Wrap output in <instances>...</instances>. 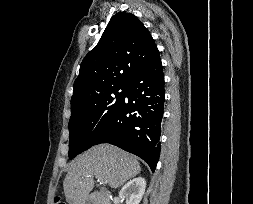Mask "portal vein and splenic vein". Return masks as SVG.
Instances as JSON below:
<instances>
[{
  "label": "portal vein and splenic vein",
  "mask_w": 253,
  "mask_h": 204,
  "mask_svg": "<svg viewBox=\"0 0 253 204\" xmlns=\"http://www.w3.org/2000/svg\"><path fill=\"white\" fill-rule=\"evenodd\" d=\"M95 177L98 179V181L100 182V184H105L106 183L100 177H98L97 175H95Z\"/></svg>",
  "instance_id": "obj_1"
}]
</instances>
